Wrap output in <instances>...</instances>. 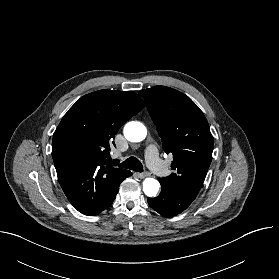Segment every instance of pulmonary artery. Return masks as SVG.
I'll use <instances>...</instances> for the list:
<instances>
[{
	"instance_id": "e3ab8cb5",
	"label": "pulmonary artery",
	"mask_w": 279,
	"mask_h": 279,
	"mask_svg": "<svg viewBox=\"0 0 279 279\" xmlns=\"http://www.w3.org/2000/svg\"><path fill=\"white\" fill-rule=\"evenodd\" d=\"M145 156L149 167L155 172H161L163 165L158 156V150L155 145H149L145 150Z\"/></svg>"
}]
</instances>
